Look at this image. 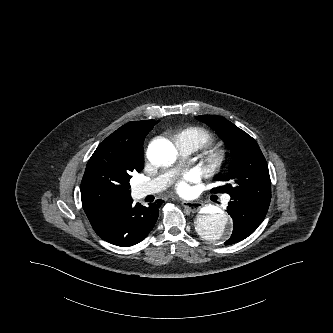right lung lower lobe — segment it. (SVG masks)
Segmentation results:
<instances>
[{"label": "right lung lower lobe", "instance_id": "1", "mask_svg": "<svg viewBox=\"0 0 333 333\" xmlns=\"http://www.w3.org/2000/svg\"><path fill=\"white\" fill-rule=\"evenodd\" d=\"M162 202L156 200L145 207L139 203L133 205V199L129 198L89 221L103 240L121 247L132 246L141 242L153 229Z\"/></svg>", "mask_w": 333, "mask_h": 333}]
</instances>
